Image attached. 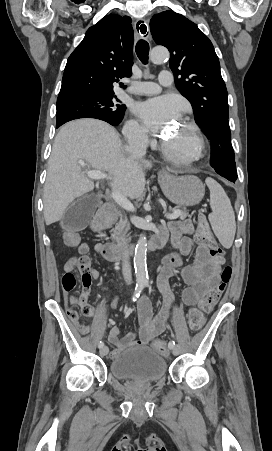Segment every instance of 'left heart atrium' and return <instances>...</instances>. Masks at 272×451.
<instances>
[{
	"instance_id": "1",
	"label": "left heart atrium",
	"mask_w": 272,
	"mask_h": 451,
	"mask_svg": "<svg viewBox=\"0 0 272 451\" xmlns=\"http://www.w3.org/2000/svg\"><path fill=\"white\" fill-rule=\"evenodd\" d=\"M139 111L146 128L152 133H160L178 117L180 108L170 97L164 96L142 104Z\"/></svg>"
}]
</instances>
